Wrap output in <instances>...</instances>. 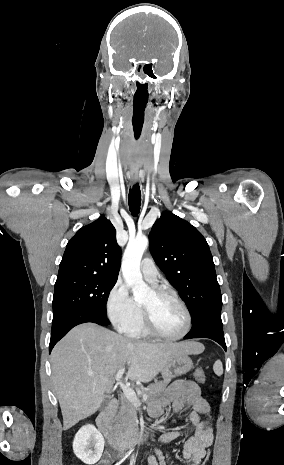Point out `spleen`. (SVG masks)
I'll return each mask as SVG.
<instances>
[{
    "label": "spleen",
    "instance_id": "obj_1",
    "mask_svg": "<svg viewBox=\"0 0 284 465\" xmlns=\"http://www.w3.org/2000/svg\"><path fill=\"white\" fill-rule=\"evenodd\" d=\"M213 371L217 377H221V375H223V365L221 361H215L213 365Z\"/></svg>",
    "mask_w": 284,
    "mask_h": 465
}]
</instances>
